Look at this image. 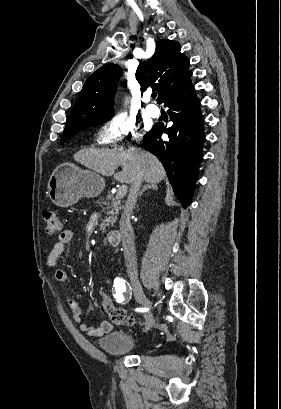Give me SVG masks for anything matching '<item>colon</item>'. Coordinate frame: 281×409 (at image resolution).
<instances>
[{"instance_id": "5ec220e1", "label": "colon", "mask_w": 281, "mask_h": 409, "mask_svg": "<svg viewBox=\"0 0 281 409\" xmlns=\"http://www.w3.org/2000/svg\"><path fill=\"white\" fill-rule=\"evenodd\" d=\"M43 217L46 222V229L48 233L54 234L64 232V224L56 211L45 209L43 211ZM108 314L111 317L112 321L118 324L127 326H131L134 324L133 317L128 316L125 311L123 312L122 306H111V308H109Z\"/></svg>"}]
</instances>
